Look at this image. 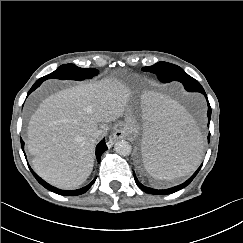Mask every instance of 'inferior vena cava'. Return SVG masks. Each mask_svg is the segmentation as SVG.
<instances>
[{"label": "inferior vena cava", "instance_id": "1", "mask_svg": "<svg viewBox=\"0 0 243 243\" xmlns=\"http://www.w3.org/2000/svg\"><path fill=\"white\" fill-rule=\"evenodd\" d=\"M101 134H102V131L97 130L96 132L93 133V137L97 139Z\"/></svg>", "mask_w": 243, "mask_h": 243}]
</instances>
